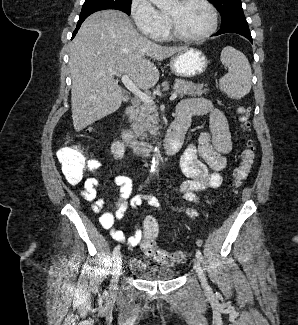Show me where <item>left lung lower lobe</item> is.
Wrapping results in <instances>:
<instances>
[{
	"label": "left lung lower lobe",
	"mask_w": 298,
	"mask_h": 325,
	"mask_svg": "<svg viewBox=\"0 0 298 325\" xmlns=\"http://www.w3.org/2000/svg\"><path fill=\"white\" fill-rule=\"evenodd\" d=\"M223 33H237L246 37L250 42H252V37L245 17L238 18L225 25H221V29L215 34V36Z\"/></svg>",
	"instance_id": "left-lung-lower-lobe-1"
}]
</instances>
